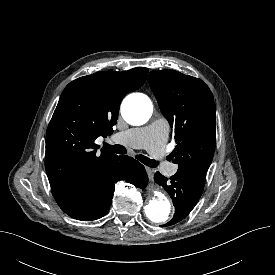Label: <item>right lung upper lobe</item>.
Segmentation results:
<instances>
[{
    "mask_svg": "<svg viewBox=\"0 0 275 275\" xmlns=\"http://www.w3.org/2000/svg\"><path fill=\"white\" fill-rule=\"evenodd\" d=\"M148 69L102 71L80 77L63 90L46 132V172L59 207L68 209L82 189L105 173L118 156L102 149L99 136L110 135L123 97L140 88Z\"/></svg>",
    "mask_w": 275,
    "mask_h": 275,
    "instance_id": "cb5924a9",
    "label": "right lung upper lobe"
}]
</instances>
